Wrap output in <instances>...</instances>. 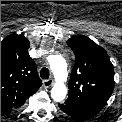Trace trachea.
Instances as JSON below:
<instances>
[{
    "label": "trachea",
    "mask_w": 122,
    "mask_h": 122,
    "mask_svg": "<svg viewBox=\"0 0 122 122\" xmlns=\"http://www.w3.org/2000/svg\"><path fill=\"white\" fill-rule=\"evenodd\" d=\"M49 70H48V68H46V67H43L42 69H41V71H40V77L42 78V79H45V80H47L48 78H49Z\"/></svg>",
    "instance_id": "3493384b"
}]
</instances>
